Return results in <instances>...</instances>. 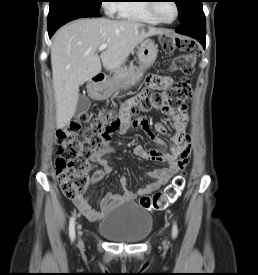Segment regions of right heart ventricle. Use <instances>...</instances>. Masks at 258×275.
Wrapping results in <instances>:
<instances>
[{
    "instance_id": "1",
    "label": "right heart ventricle",
    "mask_w": 258,
    "mask_h": 275,
    "mask_svg": "<svg viewBox=\"0 0 258 275\" xmlns=\"http://www.w3.org/2000/svg\"><path fill=\"white\" fill-rule=\"evenodd\" d=\"M114 4V10L120 17L134 21L158 25L159 22L151 14L148 7L149 0H123Z\"/></svg>"
}]
</instances>
